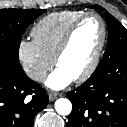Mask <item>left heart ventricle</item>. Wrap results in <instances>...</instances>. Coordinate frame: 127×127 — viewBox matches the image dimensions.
<instances>
[{"label":"left heart ventricle","mask_w":127,"mask_h":127,"mask_svg":"<svg viewBox=\"0 0 127 127\" xmlns=\"http://www.w3.org/2000/svg\"><path fill=\"white\" fill-rule=\"evenodd\" d=\"M102 36L98 19L87 18L74 33L71 43L58 63L73 78L80 75L90 64L96 53Z\"/></svg>","instance_id":"1"}]
</instances>
